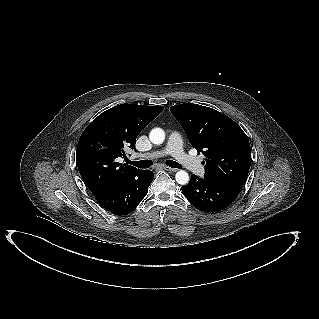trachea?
I'll return each instance as SVG.
<instances>
[{"instance_id":"obj_1","label":"trachea","mask_w":319,"mask_h":319,"mask_svg":"<svg viewBox=\"0 0 319 319\" xmlns=\"http://www.w3.org/2000/svg\"><path fill=\"white\" fill-rule=\"evenodd\" d=\"M126 162L128 164L134 165V166H136L138 168H142V169L149 168L153 164L152 161H150V160L130 161L129 159H127ZM166 164L172 168H180L181 167L180 164H178L176 161H173V160H167Z\"/></svg>"}]
</instances>
